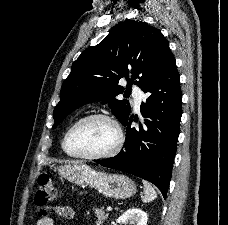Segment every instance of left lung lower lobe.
I'll return each instance as SVG.
<instances>
[{
  "label": "left lung lower lobe",
  "mask_w": 228,
  "mask_h": 225,
  "mask_svg": "<svg viewBox=\"0 0 228 225\" xmlns=\"http://www.w3.org/2000/svg\"><path fill=\"white\" fill-rule=\"evenodd\" d=\"M142 91L147 94L140 106L145 125L130 128L133 116L128 118L122 123L127 132L121 152L94 162L143 178L156 185L166 198L182 115V93L173 55Z\"/></svg>",
  "instance_id": "obj_1"
}]
</instances>
